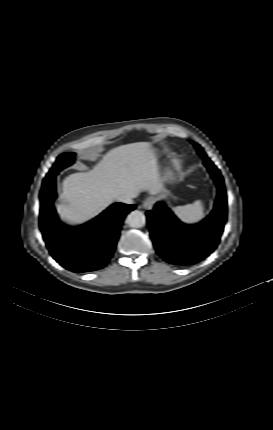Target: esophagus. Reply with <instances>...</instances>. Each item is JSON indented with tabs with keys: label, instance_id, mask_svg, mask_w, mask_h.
Instances as JSON below:
<instances>
[{
	"label": "esophagus",
	"instance_id": "esophagus-1",
	"mask_svg": "<svg viewBox=\"0 0 273 430\" xmlns=\"http://www.w3.org/2000/svg\"><path fill=\"white\" fill-rule=\"evenodd\" d=\"M154 203H155V198L154 197H148L143 201L142 208H144L145 210H150V209H152Z\"/></svg>",
	"mask_w": 273,
	"mask_h": 430
}]
</instances>
